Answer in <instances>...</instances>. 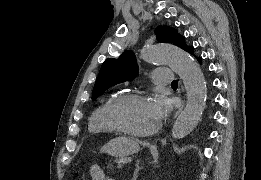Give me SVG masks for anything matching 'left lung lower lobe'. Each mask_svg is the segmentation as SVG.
I'll use <instances>...</instances> for the list:
<instances>
[{
  "mask_svg": "<svg viewBox=\"0 0 261 180\" xmlns=\"http://www.w3.org/2000/svg\"><path fill=\"white\" fill-rule=\"evenodd\" d=\"M187 52L193 54V53H194V48H193V47H189L188 50H187ZM196 58H197V60L199 61V63H201V58H200V57H196Z\"/></svg>",
  "mask_w": 261,
  "mask_h": 180,
  "instance_id": "1",
  "label": "left lung lower lobe"
}]
</instances>
